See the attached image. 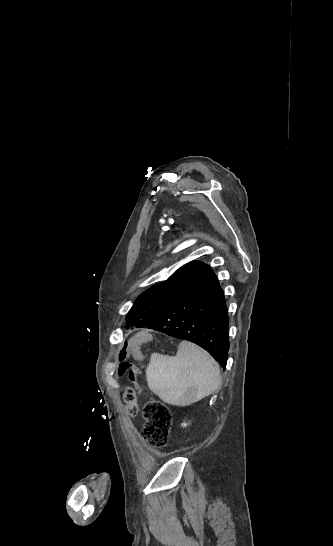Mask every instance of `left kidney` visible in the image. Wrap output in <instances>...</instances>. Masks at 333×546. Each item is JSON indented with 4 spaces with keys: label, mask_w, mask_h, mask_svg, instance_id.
<instances>
[{
    "label": "left kidney",
    "mask_w": 333,
    "mask_h": 546,
    "mask_svg": "<svg viewBox=\"0 0 333 546\" xmlns=\"http://www.w3.org/2000/svg\"><path fill=\"white\" fill-rule=\"evenodd\" d=\"M182 426L186 427V426H187V424H186V423H183V424H182Z\"/></svg>",
    "instance_id": "5707ae66"
}]
</instances>
